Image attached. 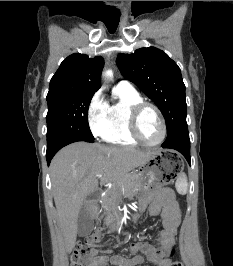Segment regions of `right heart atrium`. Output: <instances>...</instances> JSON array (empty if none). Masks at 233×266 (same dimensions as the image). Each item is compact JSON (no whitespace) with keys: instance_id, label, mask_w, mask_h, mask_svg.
<instances>
[{"instance_id":"d8ad5b80","label":"right heart atrium","mask_w":233,"mask_h":266,"mask_svg":"<svg viewBox=\"0 0 233 266\" xmlns=\"http://www.w3.org/2000/svg\"><path fill=\"white\" fill-rule=\"evenodd\" d=\"M108 104L102 92L97 91L90 100L87 118L92 134L97 138H104L109 129L107 119Z\"/></svg>"}]
</instances>
